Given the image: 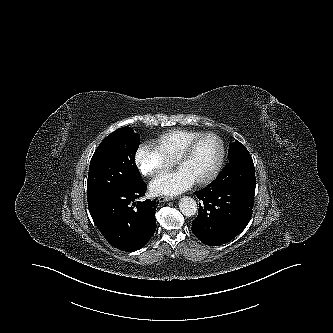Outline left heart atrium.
I'll list each match as a JSON object with an SVG mask.
<instances>
[{
	"mask_svg": "<svg viewBox=\"0 0 333 333\" xmlns=\"http://www.w3.org/2000/svg\"><path fill=\"white\" fill-rule=\"evenodd\" d=\"M194 180L183 170L164 174L150 184V190L156 195L176 196L189 189Z\"/></svg>",
	"mask_w": 333,
	"mask_h": 333,
	"instance_id": "39dd6f15",
	"label": "left heart atrium"
}]
</instances>
